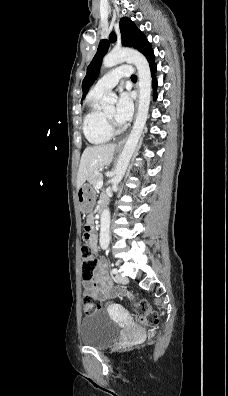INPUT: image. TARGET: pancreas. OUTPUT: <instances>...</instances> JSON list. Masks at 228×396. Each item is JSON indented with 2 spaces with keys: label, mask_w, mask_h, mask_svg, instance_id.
<instances>
[{
  "label": "pancreas",
  "mask_w": 228,
  "mask_h": 396,
  "mask_svg": "<svg viewBox=\"0 0 228 396\" xmlns=\"http://www.w3.org/2000/svg\"><path fill=\"white\" fill-rule=\"evenodd\" d=\"M103 175L101 173H95L89 178L90 185L95 188L98 181L102 180Z\"/></svg>",
  "instance_id": "obj_1"
}]
</instances>
